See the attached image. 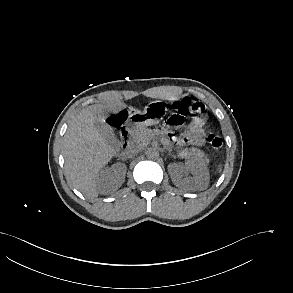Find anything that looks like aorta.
I'll return each mask as SVG.
<instances>
[{"label":"aorta","instance_id":"1","mask_svg":"<svg viewBox=\"0 0 293 293\" xmlns=\"http://www.w3.org/2000/svg\"><path fill=\"white\" fill-rule=\"evenodd\" d=\"M146 156L150 160H157L159 158V151L151 148L146 152Z\"/></svg>","mask_w":293,"mask_h":293}]
</instances>
